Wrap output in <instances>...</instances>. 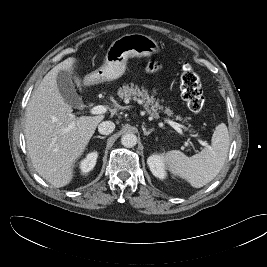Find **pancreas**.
<instances>
[{
    "instance_id": "obj_1",
    "label": "pancreas",
    "mask_w": 267,
    "mask_h": 267,
    "mask_svg": "<svg viewBox=\"0 0 267 267\" xmlns=\"http://www.w3.org/2000/svg\"><path fill=\"white\" fill-rule=\"evenodd\" d=\"M117 94L121 99H124V101L130 99L137 101L145 108L146 112L152 116H157L158 111L160 112L164 109V106L160 104V100H156L153 95L150 96L148 91L143 87L140 89L133 84H131V86L124 85L119 88ZM163 111L168 115H172V111L169 107H166ZM177 119L181 120V117H177Z\"/></svg>"
}]
</instances>
